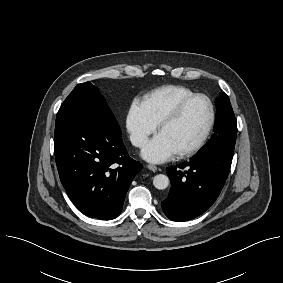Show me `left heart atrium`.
I'll list each match as a JSON object with an SVG mask.
<instances>
[{"label": "left heart atrium", "instance_id": "left-heart-atrium-1", "mask_svg": "<svg viewBox=\"0 0 283 283\" xmlns=\"http://www.w3.org/2000/svg\"><path fill=\"white\" fill-rule=\"evenodd\" d=\"M177 150L161 133L149 140L141 151L142 157L152 163H163L177 155Z\"/></svg>", "mask_w": 283, "mask_h": 283}]
</instances>
